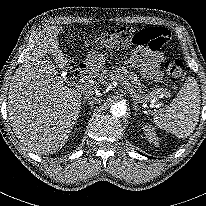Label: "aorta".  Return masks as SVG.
I'll return each mask as SVG.
<instances>
[{
	"label": "aorta",
	"instance_id": "1",
	"mask_svg": "<svg viewBox=\"0 0 206 206\" xmlns=\"http://www.w3.org/2000/svg\"><path fill=\"white\" fill-rule=\"evenodd\" d=\"M127 106L124 103L118 102L111 106L110 113L115 117H122L126 114Z\"/></svg>",
	"mask_w": 206,
	"mask_h": 206
}]
</instances>
